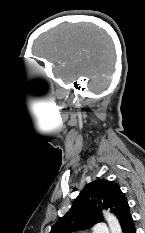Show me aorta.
<instances>
[{
  "label": "aorta",
  "instance_id": "obj_1",
  "mask_svg": "<svg viewBox=\"0 0 145 233\" xmlns=\"http://www.w3.org/2000/svg\"><path fill=\"white\" fill-rule=\"evenodd\" d=\"M103 215L109 225L111 233H122L121 226L116 216L108 211H103Z\"/></svg>",
  "mask_w": 145,
  "mask_h": 233
}]
</instances>
